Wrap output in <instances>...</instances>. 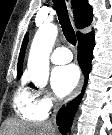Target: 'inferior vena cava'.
Returning <instances> with one entry per match:
<instances>
[{"label": "inferior vena cava", "instance_id": "602c4592", "mask_svg": "<svg viewBox=\"0 0 112 135\" xmlns=\"http://www.w3.org/2000/svg\"><path fill=\"white\" fill-rule=\"evenodd\" d=\"M58 106H59V102L57 100H55V106H54V115H53V122L55 121V118H56V113L58 111Z\"/></svg>", "mask_w": 112, "mask_h": 135}]
</instances>
